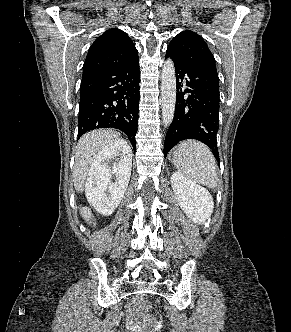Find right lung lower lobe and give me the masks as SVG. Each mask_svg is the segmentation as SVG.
I'll return each instance as SVG.
<instances>
[{
  "label": "right lung lower lobe",
  "instance_id": "right-lung-lower-lobe-1",
  "mask_svg": "<svg viewBox=\"0 0 291 332\" xmlns=\"http://www.w3.org/2000/svg\"><path fill=\"white\" fill-rule=\"evenodd\" d=\"M139 58L83 73L80 86L78 138L98 128H116L130 139L136 151L138 127Z\"/></svg>",
  "mask_w": 291,
  "mask_h": 332
}]
</instances>
